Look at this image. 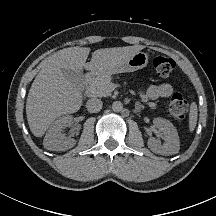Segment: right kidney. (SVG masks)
Segmentation results:
<instances>
[{
  "instance_id": "1",
  "label": "right kidney",
  "mask_w": 216,
  "mask_h": 216,
  "mask_svg": "<svg viewBox=\"0 0 216 216\" xmlns=\"http://www.w3.org/2000/svg\"><path fill=\"white\" fill-rule=\"evenodd\" d=\"M73 124L72 116L57 119L49 128L44 138V148L52 151H65L76 144V140L62 134V129Z\"/></svg>"
}]
</instances>
